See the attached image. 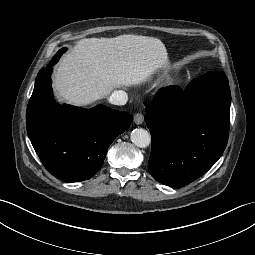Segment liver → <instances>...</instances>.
Segmentation results:
<instances>
[{"label":"liver","instance_id":"6515ba94","mask_svg":"<svg viewBox=\"0 0 255 255\" xmlns=\"http://www.w3.org/2000/svg\"><path fill=\"white\" fill-rule=\"evenodd\" d=\"M169 65L160 39L141 35L82 39L57 66L54 83L69 103L87 106L114 89L140 85Z\"/></svg>","mask_w":255,"mask_h":255}]
</instances>
